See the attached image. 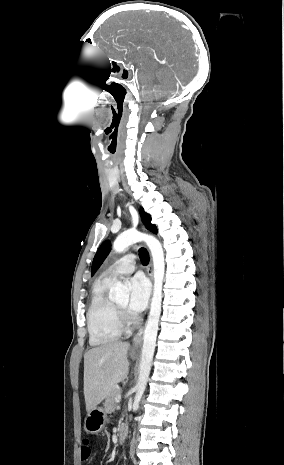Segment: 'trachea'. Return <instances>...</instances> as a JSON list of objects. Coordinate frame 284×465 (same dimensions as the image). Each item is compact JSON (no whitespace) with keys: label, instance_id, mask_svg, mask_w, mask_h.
<instances>
[{"label":"trachea","instance_id":"trachea-1","mask_svg":"<svg viewBox=\"0 0 284 465\" xmlns=\"http://www.w3.org/2000/svg\"><path fill=\"white\" fill-rule=\"evenodd\" d=\"M139 258L143 265H147L149 263V254L145 248H140L139 250Z\"/></svg>","mask_w":284,"mask_h":465}]
</instances>
